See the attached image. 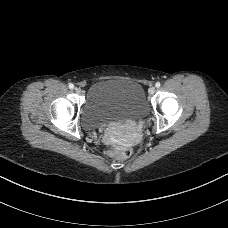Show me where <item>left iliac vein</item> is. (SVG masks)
<instances>
[{"label":"left iliac vein","mask_w":228,"mask_h":228,"mask_svg":"<svg viewBox=\"0 0 228 228\" xmlns=\"http://www.w3.org/2000/svg\"><path fill=\"white\" fill-rule=\"evenodd\" d=\"M156 89L154 86H151L149 89H148V92L150 95H153L155 93Z\"/></svg>","instance_id":"obj_1"}]
</instances>
